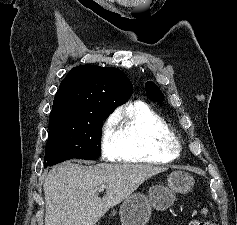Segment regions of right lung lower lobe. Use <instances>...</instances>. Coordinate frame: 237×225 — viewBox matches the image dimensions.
<instances>
[{
	"label": "right lung lower lobe",
	"mask_w": 237,
	"mask_h": 225,
	"mask_svg": "<svg viewBox=\"0 0 237 225\" xmlns=\"http://www.w3.org/2000/svg\"><path fill=\"white\" fill-rule=\"evenodd\" d=\"M72 159L71 157H45L44 158V167L52 166L57 163L63 162L65 160Z\"/></svg>",
	"instance_id": "1"
}]
</instances>
